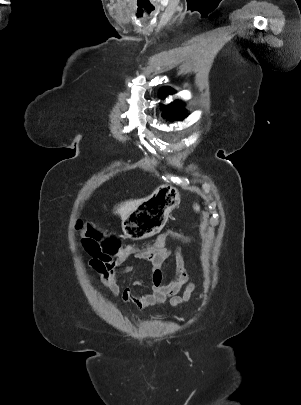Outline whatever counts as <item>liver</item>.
I'll return each mask as SVG.
<instances>
[{
  "mask_svg": "<svg viewBox=\"0 0 301 405\" xmlns=\"http://www.w3.org/2000/svg\"><path fill=\"white\" fill-rule=\"evenodd\" d=\"M145 199L130 200L120 204L115 213L120 215L121 219L124 220L132 211H134Z\"/></svg>",
  "mask_w": 301,
  "mask_h": 405,
  "instance_id": "liver-1",
  "label": "liver"
}]
</instances>
